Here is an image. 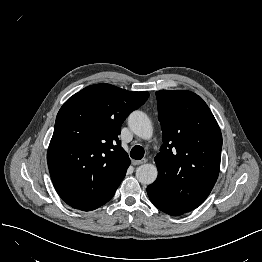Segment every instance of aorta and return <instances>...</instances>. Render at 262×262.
I'll list each match as a JSON object with an SVG mask.
<instances>
[{
	"label": "aorta",
	"instance_id": "obj_1",
	"mask_svg": "<svg viewBox=\"0 0 262 262\" xmlns=\"http://www.w3.org/2000/svg\"><path fill=\"white\" fill-rule=\"evenodd\" d=\"M128 125L135 135L142 139H150L153 127L149 117L142 111H133L128 117ZM158 176L157 167L153 164H143L136 170V177L141 184H152Z\"/></svg>",
	"mask_w": 262,
	"mask_h": 262
}]
</instances>
